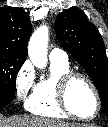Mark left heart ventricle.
<instances>
[{
    "mask_svg": "<svg viewBox=\"0 0 108 127\" xmlns=\"http://www.w3.org/2000/svg\"><path fill=\"white\" fill-rule=\"evenodd\" d=\"M68 101L71 109L82 117L91 116L96 108V99L93 91L81 79L75 80L68 94Z\"/></svg>",
    "mask_w": 108,
    "mask_h": 127,
    "instance_id": "1",
    "label": "left heart ventricle"
}]
</instances>
